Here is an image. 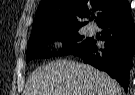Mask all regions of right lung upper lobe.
Masks as SVG:
<instances>
[{
	"label": "right lung upper lobe",
	"mask_w": 135,
	"mask_h": 95,
	"mask_svg": "<svg viewBox=\"0 0 135 95\" xmlns=\"http://www.w3.org/2000/svg\"><path fill=\"white\" fill-rule=\"evenodd\" d=\"M91 11L99 12L96 22L100 26L106 21L124 18L130 14L131 8L127 0H42L32 33L79 30L87 24L79 19L88 18Z\"/></svg>",
	"instance_id": "cb5924a9"
}]
</instances>
